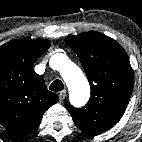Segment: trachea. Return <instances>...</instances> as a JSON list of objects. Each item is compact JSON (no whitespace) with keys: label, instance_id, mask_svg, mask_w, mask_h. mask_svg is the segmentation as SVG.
Segmentation results:
<instances>
[{"label":"trachea","instance_id":"3493384b","mask_svg":"<svg viewBox=\"0 0 142 142\" xmlns=\"http://www.w3.org/2000/svg\"><path fill=\"white\" fill-rule=\"evenodd\" d=\"M49 89L52 90V91L58 92V91H61V90L64 89V85L61 82V80H55V81L52 82Z\"/></svg>","mask_w":142,"mask_h":142}]
</instances>
